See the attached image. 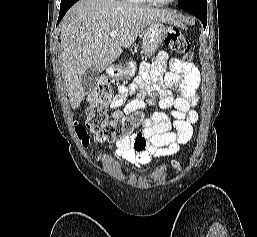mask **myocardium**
Segmentation results:
<instances>
[{"label":"myocardium","mask_w":257,"mask_h":237,"mask_svg":"<svg viewBox=\"0 0 257 237\" xmlns=\"http://www.w3.org/2000/svg\"><path fill=\"white\" fill-rule=\"evenodd\" d=\"M152 3H155V4H159V5H170V4H173L175 3L177 0H166V1H163V0H148Z\"/></svg>","instance_id":"1"}]
</instances>
